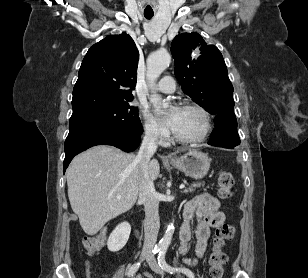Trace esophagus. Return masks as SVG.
I'll use <instances>...</instances> for the list:
<instances>
[{
    "label": "esophagus",
    "mask_w": 308,
    "mask_h": 278,
    "mask_svg": "<svg viewBox=\"0 0 308 278\" xmlns=\"http://www.w3.org/2000/svg\"><path fill=\"white\" fill-rule=\"evenodd\" d=\"M166 158H167L168 160H173L174 157H173L172 154H168Z\"/></svg>",
    "instance_id": "obj_1"
}]
</instances>
